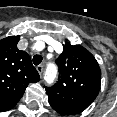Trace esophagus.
Returning a JSON list of instances; mask_svg holds the SVG:
<instances>
[{"label":"esophagus","instance_id":"obj_1","mask_svg":"<svg viewBox=\"0 0 117 117\" xmlns=\"http://www.w3.org/2000/svg\"><path fill=\"white\" fill-rule=\"evenodd\" d=\"M36 69H37L38 73L41 75V74L43 73L44 66H43V65H38V66L36 67Z\"/></svg>","mask_w":117,"mask_h":117}]
</instances>
